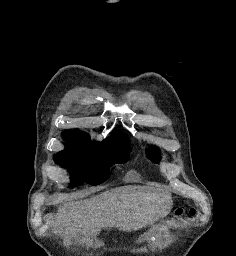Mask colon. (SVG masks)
<instances>
[{
    "instance_id": "1",
    "label": "colon",
    "mask_w": 236,
    "mask_h": 256,
    "mask_svg": "<svg viewBox=\"0 0 236 256\" xmlns=\"http://www.w3.org/2000/svg\"><path fill=\"white\" fill-rule=\"evenodd\" d=\"M195 214H196V210L192 206H184V207L179 208L176 211V216L179 219H187V218L195 216Z\"/></svg>"
}]
</instances>
